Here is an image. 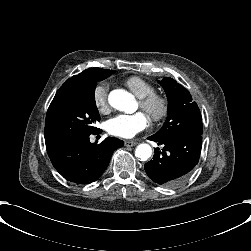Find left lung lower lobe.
<instances>
[{"mask_svg": "<svg viewBox=\"0 0 251 251\" xmlns=\"http://www.w3.org/2000/svg\"><path fill=\"white\" fill-rule=\"evenodd\" d=\"M149 140L163 145L162 152L154 149L153 159L145 164L148 177L155 183L172 187L182 183L198 164L202 134L187 133L166 139L152 135Z\"/></svg>", "mask_w": 251, "mask_h": 251, "instance_id": "left-lung-lower-lobe-1", "label": "left lung lower lobe"}]
</instances>
